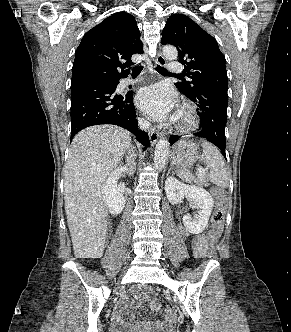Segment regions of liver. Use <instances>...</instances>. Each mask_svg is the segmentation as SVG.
Instances as JSON below:
<instances>
[{"instance_id":"obj_1","label":"liver","mask_w":291,"mask_h":332,"mask_svg":"<svg viewBox=\"0 0 291 332\" xmlns=\"http://www.w3.org/2000/svg\"><path fill=\"white\" fill-rule=\"evenodd\" d=\"M130 143V134L112 125L86 128L72 140L64 175V200L76 258L103 255L108 216L103 187ZM127 167L130 172L132 162Z\"/></svg>"}]
</instances>
